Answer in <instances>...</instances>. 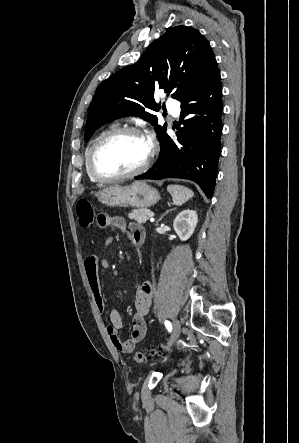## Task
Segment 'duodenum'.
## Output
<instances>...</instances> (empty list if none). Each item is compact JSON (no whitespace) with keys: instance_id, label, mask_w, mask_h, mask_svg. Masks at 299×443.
Listing matches in <instances>:
<instances>
[{"instance_id":"duodenum-1","label":"duodenum","mask_w":299,"mask_h":443,"mask_svg":"<svg viewBox=\"0 0 299 443\" xmlns=\"http://www.w3.org/2000/svg\"><path fill=\"white\" fill-rule=\"evenodd\" d=\"M140 245V242H134L133 247H137Z\"/></svg>"}]
</instances>
